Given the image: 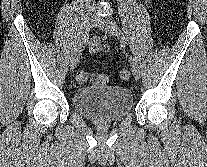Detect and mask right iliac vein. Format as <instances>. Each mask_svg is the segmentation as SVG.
<instances>
[{
  "label": "right iliac vein",
  "instance_id": "obj_1",
  "mask_svg": "<svg viewBox=\"0 0 207 167\" xmlns=\"http://www.w3.org/2000/svg\"><path fill=\"white\" fill-rule=\"evenodd\" d=\"M94 24V18L92 15V10L89 9L87 10L86 16H85V20H84V27H83V34L80 40V43L77 47V49L74 52V55L71 59V64H70V70H74L75 67L77 66L78 62H79V58L82 52V48L85 44V42L87 41V35L88 32L90 31V29L92 28Z\"/></svg>",
  "mask_w": 207,
  "mask_h": 167
}]
</instances>
